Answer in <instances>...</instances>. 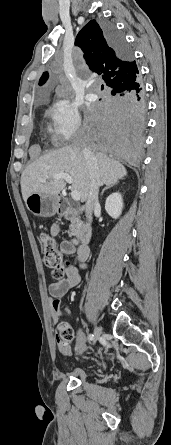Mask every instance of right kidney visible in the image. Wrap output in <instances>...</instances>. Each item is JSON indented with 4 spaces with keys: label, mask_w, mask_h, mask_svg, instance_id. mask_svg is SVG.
Segmentation results:
<instances>
[{
    "label": "right kidney",
    "mask_w": 171,
    "mask_h": 445,
    "mask_svg": "<svg viewBox=\"0 0 171 445\" xmlns=\"http://www.w3.org/2000/svg\"><path fill=\"white\" fill-rule=\"evenodd\" d=\"M123 209V199L120 193L110 194L105 202V210L114 219L119 218Z\"/></svg>",
    "instance_id": "obj_1"
}]
</instances>
